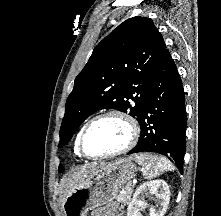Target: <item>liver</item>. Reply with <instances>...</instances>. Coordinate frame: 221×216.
<instances>
[{"mask_svg":"<svg viewBox=\"0 0 221 216\" xmlns=\"http://www.w3.org/2000/svg\"><path fill=\"white\" fill-rule=\"evenodd\" d=\"M101 165L97 163H89L85 164L83 166L77 167L73 170H71L70 173H68L65 177L62 179V188H63V200L68 194V192L76 186L80 181H82L85 177H87L90 173L95 171L98 167Z\"/></svg>","mask_w":221,"mask_h":216,"instance_id":"1","label":"liver"}]
</instances>
